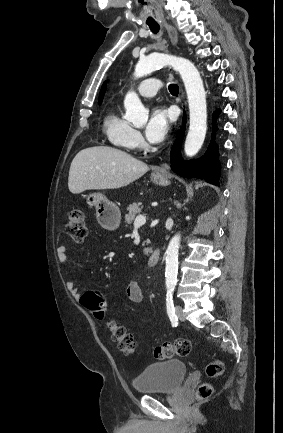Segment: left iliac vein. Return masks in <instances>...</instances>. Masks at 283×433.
I'll return each mask as SVG.
<instances>
[{
  "label": "left iliac vein",
  "instance_id": "left-iliac-vein-1",
  "mask_svg": "<svg viewBox=\"0 0 283 433\" xmlns=\"http://www.w3.org/2000/svg\"><path fill=\"white\" fill-rule=\"evenodd\" d=\"M175 313H176L177 317H178L181 321H184L185 316H184V313H183L182 307H181L180 305H176V306H175Z\"/></svg>",
  "mask_w": 283,
  "mask_h": 433
}]
</instances>
